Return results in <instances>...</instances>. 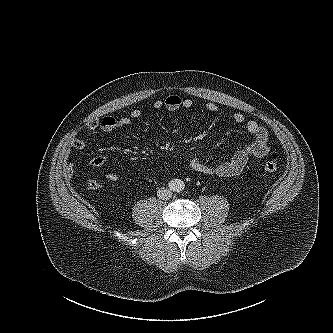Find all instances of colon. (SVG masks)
Segmentation results:
<instances>
[{
	"mask_svg": "<svg viewBox=\"0 0 333 333\" xmlns=\"http://www.w3.org/2000/svg\"><path fill=\"white\" fill-rule=\"evenodd\" d=\"M279 165H280V156L277 153H275L263 163L262 170L266 173H272L278 170ZM87 186L90 189H97L100 187V183L94 179H90L87 182Z\"/></svg>",
	"mask_w": 333,
	"mask_h": 333,
	"instance_id": "colon-1",
	"label": "colon"
}]
</instances>
